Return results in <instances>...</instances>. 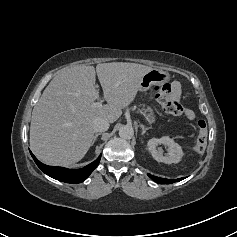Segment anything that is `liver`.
I'll return each mask as SVG.
<instances>
[{
	"mask_svg": "<svg viewBox=\"0 0 237 237\" xmlns=\"http://www.w3.org/2000/svg\"><path fill=\"white\" fill-rule=\"evenodd\" d=\"M151 67L112 62L78 65L61 70L48 84L33 108L30 148L43 163L68 166L80 161L94 138L93 121L115 122L132 103L140 81ZM97 75L106 105L93 107L99 98Z\"/></svg>",
	"mask_w": 237,
	"mask_h": 237,
	"instance_id": "obj_1",
	"label": "liver"
}]
</instances>
